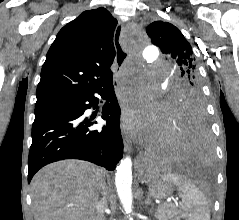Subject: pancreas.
I'll return each mask as SVG.
<instances>
[{"label": "pancreas", "mask_w": 239, "mask_h": 220, "mask_svg": "<svg viewBox=\"0 0 239 220\" xmlns=\"http://www.w3.org/2000/svg\"><path fill=\"white\" fill-rule=\"evenodd\" d=\"M179 210L169 204L161 205L155 212V217L158 220H180Z\"/></svg>", "instance_id": "obj_1"}]
</instances>
